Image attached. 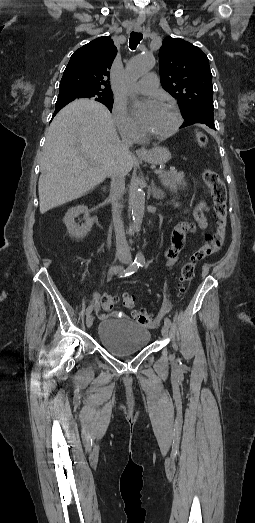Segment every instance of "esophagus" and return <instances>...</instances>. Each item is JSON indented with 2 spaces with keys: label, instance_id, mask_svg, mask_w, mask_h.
<instances>
[{
  "label": "esophagus",
  "instance_id": "34e87169",
  "mask_svg": "<svg viewBox=\"0 0 255 523\" xmlns=\"http://www.w3.org/2000/svg\"><path fill=\"white\" fill-rule=\"evenodd\" d=\"M137 32H140L141 28H135ZM137 155L139 156H145L148 154V149L146 147H141L138 150H136Z\"/></svg>",
  "mask_w": 255,
  "mask_h": 523
}]
</instances>
